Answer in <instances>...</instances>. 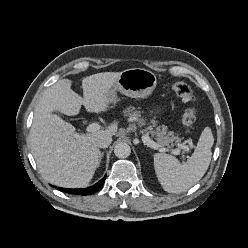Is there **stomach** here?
I'll use <instances>...</instances> for the list:
<instances>
[{
    "label": "stomach",
    "instance_id": "obj_1",
    "mask_svg": "<svg viewBox=\"0 0 248 248\" xmlns=\"http://www.w3.org/2000/svg\"><path fill=\"white\" fill-rule=\"evenodd\" d=\"M156 85L157 77L150 70L144 68L127 69L121 72L109 90L108 101L109 103L117 102V91L131 98H144L154 91Z\"/></svg>",
    "mask_w": 248,
    "mask_h": 248
}]
</instances>
